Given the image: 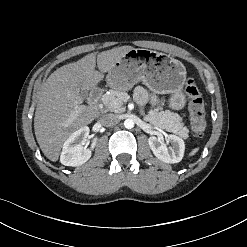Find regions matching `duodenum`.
<instances>
[{
    "mask_svg": "<svg viewBox=\"0 0 247 247\" xmlns=\"http://www.w3.org/2000/svg\"><path fill=\"white\" fill-rule=\"evenodd\" d=\"M102 95V89L96 88L92 91L90 95V100L93 104H96Z\"/></svg>",
    "mask_w": 247,
    "mask_h": 247,
    "instance_id": "1",
    "label": "duodenum"
}]
</instances>
